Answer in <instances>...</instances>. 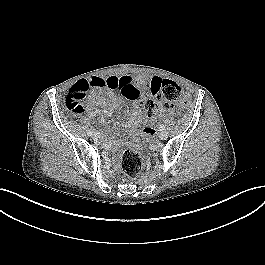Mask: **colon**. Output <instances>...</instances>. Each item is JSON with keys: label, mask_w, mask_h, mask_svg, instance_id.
I'll return each instance as SVG.
<instances>
[{"label": "colon", "mask_w": 265, "mask_h": 265, "mask_svg": "<svg viewBox=\"0 0 265 265\" xmlns=\"http://www.w3.org/2000/svg\"><path fill=\"white\" fill-rule=\"evenodd\" d=\"M98 85L89 81H78L68 91L66 96V106L73 113L83 111V105L80 101L84 100L87 92ZM153 95L160 93L165 105L178 103L183 107L188 105V100L184 99L181 94V87L173 80L161 78L155 79L151 85ZM144 112L146 119H151L155 115L156 104L153 99L148 98L144 102ZM143 166L140 147L137 144L131 145L122 155L121 167L123 172L131 179L139 176Z\"/></svg>", "instance_id": "1"}]
</instances>
